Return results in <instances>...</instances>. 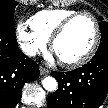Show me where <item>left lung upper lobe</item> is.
<instances>
[{
  "mask_svg": "<svg viewBox=\"0 0 108 108\" xmlns=\"http://www.w3.org/2000/svg\"><path fill=\"white\" fill-rule=\"evenodd\" d=\"M100 20L101 44L95 55H108V22L103 21V18Z\"/></svg>",
  "mask_w": 108,
  "mask_h": 108,
  "instance_id": "5c2ea615",
  "label": "left lung upper lobe"
}]
</instances>
